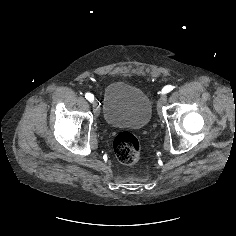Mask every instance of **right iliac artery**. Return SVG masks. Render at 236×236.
Instances as JSON below:
<instances>
[{
    "instance_id": "1",
    "label": "right iliac artery",
    "mask_w": 236,
    "mask_h": 236,
    "mask_svg": "<svg viewBox=\"0 0 236 236\" xmlns=\"http://www.w3.org/2000/svg\"><path fill=\"white\" fill-rule=\"evenodd\" d=\"M85 98L90 102H93L94 100V96L91 93H86Z\"/></svg>"
}]
</instances>
